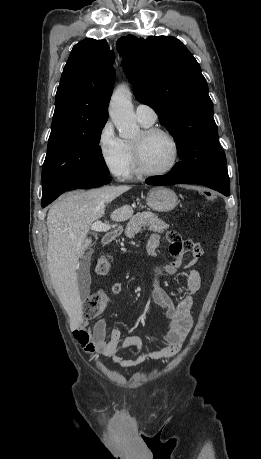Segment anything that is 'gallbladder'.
I'll return each instance as SVG.
<instances>
[{
    "label": "gallbladder",
    "mask_w": 261,
    "mask_h": 459,
    "mask_svg": "<svg viewBox=\"0 0 261 459\" xmlns=\"http://www.w3.org/2000/svg\"><path fill=\"white\" fill-rule=\"evenodd\" d=\"M91 255L92 252H88L79 264L77 270V283L79 288V293L81 300L84 301L90 294V265H91Z\"/></svg>",
    "instance_id": "1"
}]
</instances>
